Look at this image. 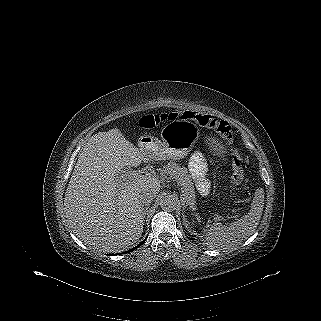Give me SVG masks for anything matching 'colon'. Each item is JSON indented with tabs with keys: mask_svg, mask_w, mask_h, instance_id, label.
Returning <instances> with one entry per match:
<instances>
[{
	"mask_svg": "<svg viewBox=\"0 0 321 321\" xmlns=\"http://www.w3.org/2000/svg\"><path fill=\"white\" fill-rule=\"evenodd\" d=\"M172 119H190L197 122L200 126L208 128L217 132L227 143H231L234 138V131L231 125L223 120H218L210 115H204L196 113L193 111H175L171 113H165L161 115H149L145 116L141 120V125L146 128L155 127L163 121ZM232 165H233V175H232V185L238 186L244 177V160L238 151L234 150L232 152Z\"/></svg>",
	"mask_w": 321,
	"mask_h": 321,
	"instance_id": "obj_1",
	"label": "colon"
}]
</instances>
